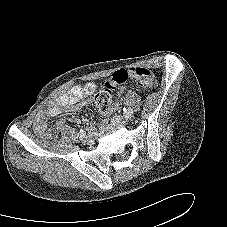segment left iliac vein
Instances as JSON below:
<instances>
[{"label":"left iliac vein","mask_w":227,"mask_h":227,"mask_svg":"<svg viewBox=\"0 0 227 227\" xmlns=\"http://www.w3.org/2000/svg\"><path fill=\"white\" fill-rule=\"evenodd\" d=\"M132 116H114L112 118V121L115 122V123H118V124H121V125H125L128 123L129 119H131Z\"/></svg>","instance_id":"4c4485c4"}]
</instances>
